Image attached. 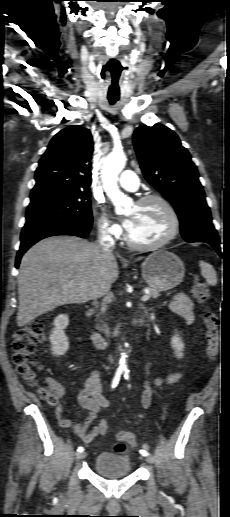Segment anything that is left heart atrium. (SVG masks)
Wrapping results in <instances>:
<instances>
[{
	"label": "left heart atrium",
	"mask_w": 230,
	"mask_h": 517,
	"mask_svg": "<svg viewBox=\"0 0 230 517\" xmlns=\"http://www.w3.org/2000/svg\"><path fill=\"white\" fill-rule=\"evenodd\" d=\"M131 222H132L131 217H126V218L124 219V225H125V227H126L127 229L130 227Z\"/></svg>",
	"instance_id": "39dd6f15"
}]
</instances>
